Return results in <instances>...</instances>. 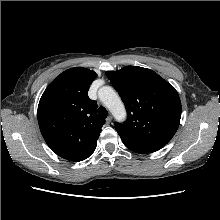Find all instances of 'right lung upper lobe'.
I'll return each instance as SVG.
<instances>
[{"label": "right lung upper lobe", "mask_w": 220, "mask_h": 220, "mask_svg": "<svg viewBox=\"0 0 220 220\" xmlns=\"http://www.w3.org/2000/svg\"><path fill=\"white\" fill-rule=\"evenodd\" d=\"M96 73L75 67L62 72L44 91L38 123L47 145L60 157L82 161L92 155L105 120L88 97Z\"/></svg>", "instance_id": "right-lung-upper-lobe-1"}]
</instances>
